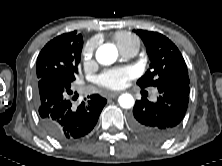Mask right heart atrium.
Here are the masks:
<instances>
[{"label":"right heart atrium","instance_id":"1","mask_svg":"<svg viewBox=\"0 0 222 166\" xmlns=\"http://www.w3.org/2000/svg\"><path fill=\"white\" fill-rule=\"evenodd\" d=\"M95 46L91 43L85 45V47L82 50V61L84 63L90 62L93 57Z\"/></svg>","mask_w":222,"mask_h":166}]
</instances>
